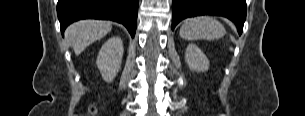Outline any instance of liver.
I'll return each mask as SVG.
<instances>
[{
    "mask_svg": "<svg viewBox=\"0 0 305 116\" xmlns=\"http://www.w3.org/2000/svg\"><path fill=\"white\" fill-rule=\"evenodd\" d=\"M111 28V24L106 21L83 20L70 25L65 34L72 42L75 54L79 55L90 44L107 35Z\"/></svg>",
    "mask_w": 305,
    "mask_h": 116,
    "instance_id": "obj_1",
    "label": "liver"
}]
</instances>
